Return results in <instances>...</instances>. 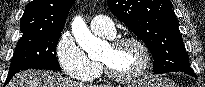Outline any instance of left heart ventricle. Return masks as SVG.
<instances>
[{
  "label": "left heart ventricle",
  "instance_id": "obj_1",
  "mask_svg": "<svg viewBox=\"0 0 205 87\" xmlns=\"http://www.w3.org/2000/svg\"><path fill=\"white\" fill-rule=\"evenodd\" d=\"M143 53L140 48L132 43L113 48L107 45L100 57L109 65L113 72L119 75H129L137 72L143 64Z\"/></svg>",
  "mask_w": 205,
  "mask_h": 87
}]
</instances>
